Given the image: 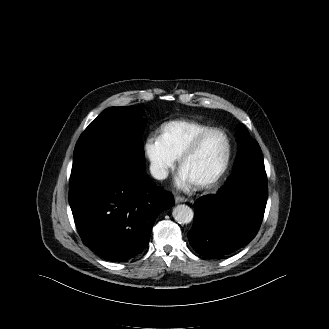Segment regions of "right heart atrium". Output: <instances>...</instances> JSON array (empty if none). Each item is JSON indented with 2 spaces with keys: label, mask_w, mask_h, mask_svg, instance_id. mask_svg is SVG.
I'll return each mask as SVG.
<instances>
[{
  "label": "right heart atrium",
  "mask_w": 329,
  "mask_h": 329,
  "mask_svg": "<svg viewBox=\"0 0 329 329\" xmlns=\"http://www.w3.org/2000/svg\"><path fill=\"white\" fill-rule=\"evenodd\" d=\"M144 151L153 175L158 179L166 178L175 166L176 158L165 148L160 139L155 137L146 139Z\"/></svg>",
  "instance_id": "d8ad5b80"
}]
</instances>
